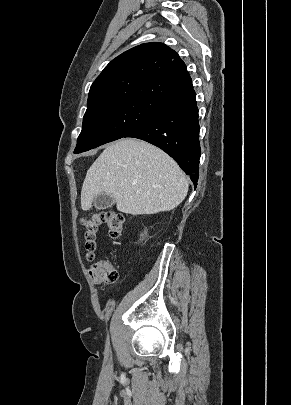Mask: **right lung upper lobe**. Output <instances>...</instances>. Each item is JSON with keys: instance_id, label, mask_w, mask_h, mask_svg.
Listing matches in <instances>:
<instances>
[{"instance_id": "obj_1", "label": "right lung upper lobe", "mask_w": 291, "mask_h": 405, "mask_svg": "<svg viewBox=\"0 0 291 405\" xmlns=\"http://www.w3.org/2000/svg\"><path fill=\"white\" fill-rule=\"evenodd\" d=\"M186 65L162 43L136 46L112 60L91 85L87 108L126 98L166 103L192 88Z\"/></svg>"}]
</instances>
